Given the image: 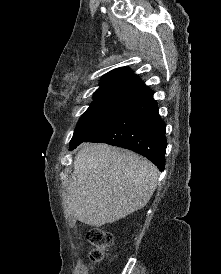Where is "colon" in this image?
I'll list each match as a JSON object with an SVG mask.
<instances>
[{
    "instance_id": "5ec220e1",
    "label": "colon",
    "mask_w": 221,
    "mask_h": 274,
    "mask_svg": "<svg viewBox=\"0 0 221 274\" xmlns=\"http://www.w3.org/2000/svg\"><path fill=\"white\" fill-rule=\"evenodd\" d=\"M87 238L93 246L90 253L91 260L95 263L102 261L106 255V249L112 244V235L103 229L93 228L88 232Z\"/></svg>"
}]
</instances>
